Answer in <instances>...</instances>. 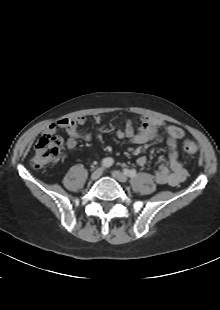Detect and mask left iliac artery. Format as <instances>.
I'll return each instance as SVG.
<instances>
[{
  "instance_id": "1",
  "label": "left iliac artery",
  "mask_w": 220,
  "mask_h": 310,
  "mask_svg": "<svg viewBox=\"0 0 220 310\" xmlns=\"http://www.w3.org/2000/svg\"><path fill=\"white\" fill-rule=\"evenodd\" d=\"M125 174L128 175L129 177L133 178L136 176V170L135 169L126 170Z\"/></svg>"
}]
</instances>
